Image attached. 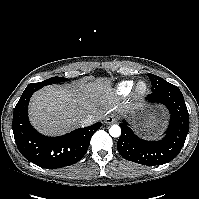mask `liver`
<instances>
[{"label": "liver", "mask_w": 199, "mask_h": 199, "mask_svg": "<svg viewBox=\"0 0 199 199\" xmlns=\"http://www.w3.org/2000/svg\"><path fill=\"white\" fill-rule=\"evenodd\" d=\"M113 90L106 79L77 82L61 87L52 85L34 93L29 105L33 126L45 135H61L81 127L87 115L98 120L112 108Z\"/></svg>", "instance_id": "1"}]
</instances>
